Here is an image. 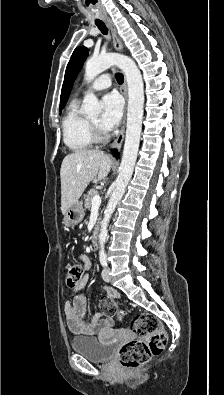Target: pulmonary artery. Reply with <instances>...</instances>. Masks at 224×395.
<instances>
[{"label": "pulmonary artery", "mask_w": 224, "mask_h": 395, "mask_svg": "<svg viewBox=\"0 0 224 395\" xmlns=\"http://www.w3.org/2000/svg\"><path fill=\"white\" fill-rule=\"evenodd\" d=\"M112 84V78L109 74H102L97 77L87 88L91 91H100L110 87Z\"/></svg>", "instance_id": "1"}]
</instances>
